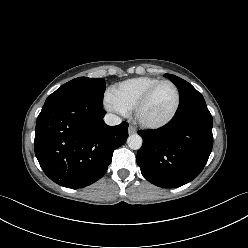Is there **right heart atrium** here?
I'll return each instance as SVG.
<instances>
[{
    "mask_svg": "<svg viewBox=\"0 0 248 248\" xmlns=\"http://www.w3.org/2000/svg\"><path fill=\"white\" fill-rule=\"evenodd\" d=\"M105 106L108 110L117 112V113H126L111 97V95H107L105 97Z\"/></svg>",
    "mask_w": 248,
    "mask_h": 248,
    "instance_id": "obj_1",
    "label": "right heart atrium"
}]
</instances>
